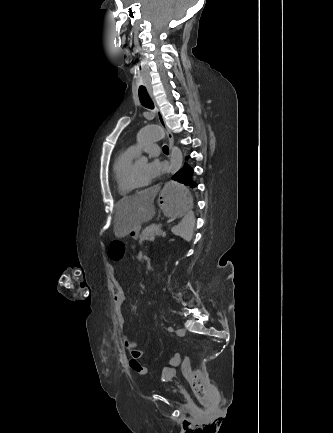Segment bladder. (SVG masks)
Returning a JSON list of instances; mask_svg holds the SVG:
<instances>
[{"instance_id": "obj_1", "label": "bladder", "mask_w": 333, "mask_h": 433, "mask_svg": "<svg viewBox=\"0 0 333 433\" xmlns=\"http://www.w3.org/2000/svg\"><path fill=\"white\" fill-rule=\"evenodd\" d=\"M165 392H166V393H170V394H172V393H173L172 391H169V390H166Z\"/></svg>"}]
</instances>
